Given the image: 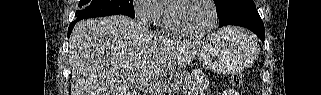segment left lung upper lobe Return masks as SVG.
Instances as JSON below:
<instances>
[{"instance_id": "left-lung-upper-lobe-1", "label": "left lung upper lobe", "mask_w": 321, "mask_h": 95, "mask_svg": "<svg viewBox=\"0 0 321 95\" xmlns=\"http://www.w3.org/2000/svg\"><path fill=\"white\" fill-rule=\"evenodd\" d=\"M235 0H214L217 9V15H220L226 7H228Z\"/></svg>"}]
</instances>
